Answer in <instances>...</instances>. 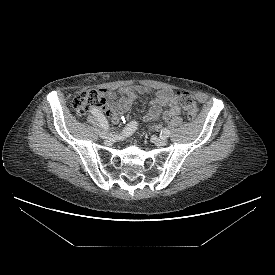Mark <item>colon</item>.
<instances>
[{
	"label": "colon",
	"mask_w": 275,
	"mask_h": 275,
	"mask_svg": "<svg viewBox=\"0 0 275 275\" xmlns=\"http://www.w3.org/2000/svg\"><path fill=\"white\" fill-rule=\"evenodd\" d=\"M178 97L189 121H193L198 114V107L194 97L188 92H177ZM107 100L103 93L97 90H88L77 94L72 100V107L80 115H85L90 109L104 110Z\"/></svg>",
	"instance_id": "1"
}]
</instances>
